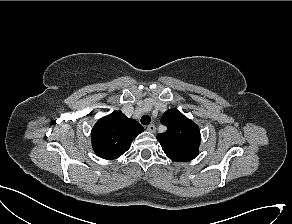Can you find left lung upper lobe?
Returning a JSON list of instances; mask_svg holds the SVG:
<instances>
[{
    "label": "left lung upper lobe",
    "instance_id": "left-lung-upper-lobe-1",
    "mask_svg": "<svg viewBox=\"0 0 292 224\" xmlns=\"http://www.w3.org/2000/svg\"><path fill=\"white\" fill-rule=\"evenodd\" d=\"M167 132L157 135L165 154L173 161H190L198 156L199 127L177 109L167 110L161 119Z\"/></svg>",
    "mask_w": 292,
    "mask_h": 224
}]
</instances>
